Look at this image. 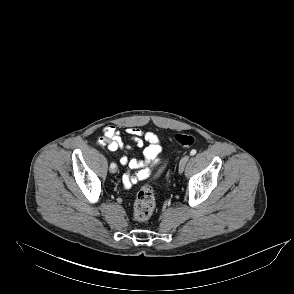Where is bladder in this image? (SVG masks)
<instances>
[{"mask_svg": "<svg viewBox=\"0 0 294 294\" xmlns=\"http://www.w3.org/2000/svg\"><path fill=\"white\" fill-rule=\"evenodd\" d=\"M164 166H165V161L159 162L157 164L156 171H155L156 175H158L162 171Z\"/></svg>", "mask_w": 294, "mask_h": 294, "instance_id": "1", "label": "bladder"}]
</instances>
